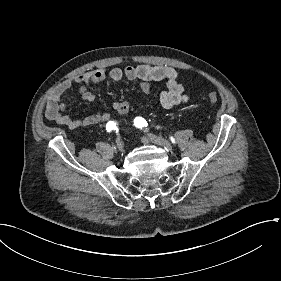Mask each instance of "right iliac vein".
<instances>
[{"instance_id": "obj_1", "label": "right iliac vein", "mask_w": 281, "mask_h": 281, "mask_svg": "<svg viewBox=\"0 0 281 281\" xmlns=\"http://www.w3.org/2000/svg\"><path fill=\"white\" fill-rule=\"evenodd\" d=\"M116 145H117V148H118L120 151H124L123 145H122V143L120 142V140H116Z\"/></svg>"}]
</instances>
